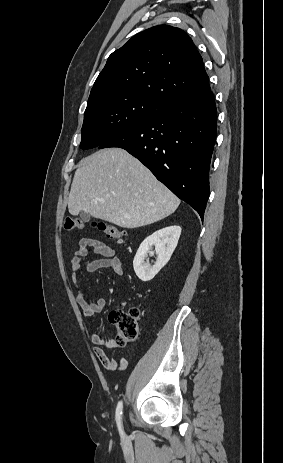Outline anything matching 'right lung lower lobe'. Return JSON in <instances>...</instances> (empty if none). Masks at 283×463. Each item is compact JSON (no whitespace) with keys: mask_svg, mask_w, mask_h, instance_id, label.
Instances as JSON below:
<instances>
[{"mask_svg":"<svg viewBox=\"0 0 283 463\" xmlns=\"http://www.w3.org/2000/svg\"><path fill=\"white\" fill-rule=\"evenodd\" d=\"M216 119L214 96L208 90L161 104L146 119L99 148L127 150L203 219Z\"/></svg>","mask_w":283,"mask_h":463,"instance_id":"obj_1","label":"right lung lower lobe"}]
</instances>
